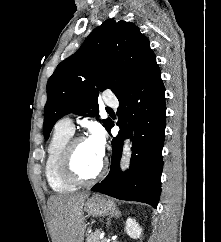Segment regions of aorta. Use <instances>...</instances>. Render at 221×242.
<instances>
[{
    "label": "aorta",
    "instance_id": "obj_1",
    "mask_svg": "<svg viewBox=\"0 0 221 242\" xmlns=\"http://www.w3.org/2000/svg\"><path fill=\"white\" fill-rule=\"evenodd\" d=\"M129 150V147L127 145H125L124 147V153H126Z\"/></svg>",
    "mask_w": 221,
    "mask_h": 242
}]
</instances>
